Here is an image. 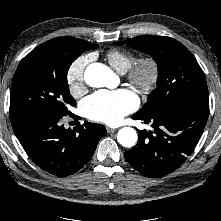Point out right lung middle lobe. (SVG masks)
<instances>
[{
  "instance_id": "obj_1",
  "label": "right lung middle lobe",
  "mask_w": 221,
  "mask_h": 221,
  "mask_svg": "<svg viewBox=\"0 0 221 221\" xmlns=\"http://www.w3.org/2000/svg\"><path fill=\"white\" fill-rule=\"evenodd\" d=\"M98 45L80 46L68 38H54L34 48L19 63L10 95V119L63 117L76 101L69 93L67 72L72 62Z\"/></svg>"
}]
</instances>
